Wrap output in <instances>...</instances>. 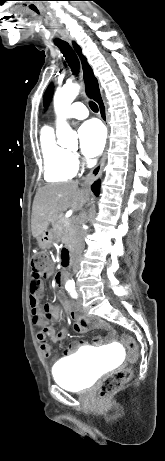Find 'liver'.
Here are the masks:
<instances>
[{
  "mask_svg": "<svg viewBox=\"0 0 165 461\" xmlns=\"http://www.w3.org/2000/svg\"><path fill=\"white\" fill-rule=\"evenodd\" d=\"M90 198L88 188H79L77 181L48 184L40 188L34 198L32 206L31 230L35 238L47 230L50 221L59 214L72 209L82 210Z\"/></svg>",
  "mask_w": 165,
  "mask_h": 461,
  "instance_id": "liver-1",
  "label": "liver"
}]
</instances>
